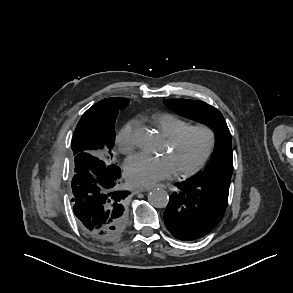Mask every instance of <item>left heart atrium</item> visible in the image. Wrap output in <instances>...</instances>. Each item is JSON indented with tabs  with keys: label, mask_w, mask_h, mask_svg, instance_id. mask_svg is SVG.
Here are the masks:
<instances>
[{
	"label": "left heart atrium",
	"mask_w": 293,
	"mask_h": 293,
	"mask_svg": "<svg viewBox=\"0 0 293 293\" xmlns=\"http://www.w3.org/2000/svg\"><path fill=\"white\" fill-rule=\"evenodd\" d=\"M176 173L174 164L169 156H152L139 153L130 157L126 162L128 180L136 185L151 186L171 178Z\"/></svg>",
	"instance_id": "obj_1"
}]
</instances>
